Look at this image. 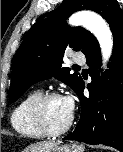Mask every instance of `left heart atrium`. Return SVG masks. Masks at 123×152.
Here are the masks:
<instances>
[{
    "label": "left heart atrium",
    "instance_id": "39dd6f15",
    "mask_svg": "<svg viewBox=\"0 0 123 152\" xmlns=\"http://www.w3.org/2000/svg\"><path fill=\"white\" fill-rule=\"evenodd\" d=\"M63 99H64V102L66 104V107H67L68 111L72 114L73 109H74L73 98L71 96H66Z\"/></svg>",
    "mask_w": 123,
    "mask_h": 152
}]
</instances>
